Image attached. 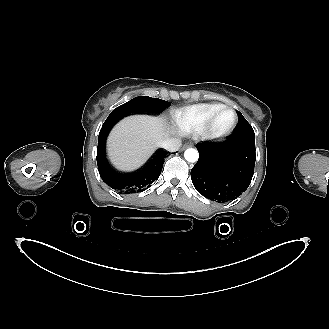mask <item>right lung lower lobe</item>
Listing matches in <instances>:
<instances>
[{
	"label": "right lung lower lobe",
	"instance_id": "obj_1",
	"mask_svg": "<svg viewBox=\"0 0 329 329\" xmlns=\"http://www.w3.org/2000/svg\"><path fill=\"white\" fill-rule=\"evenodd\" d=\"M116 122L114 120H106L99 133L97 147L99 174L108 186L120 193L129 194L143 191L159 178L168 152L158 150L143 168L131 174H121L112 170L106 159L105 142L108 132Z\"/></svg>",
	"mask_w": 329,
	"mask_h": 329
}]
</instances>
